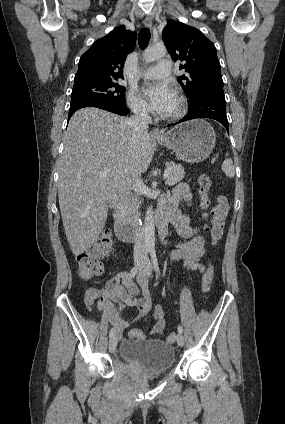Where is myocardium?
Listing matches in <instances>:
<instances>
[{"label": "myocardium", "mask_w": 285, "mask_h": 424, "mask_svg": "<svg viewBox=\"0 0 285 424\" xmlns=\"http://www.w3.org/2000/svg\"><path fill=\"white\" fill-rule=\"evenodd\" d=\"M176 98L179 102V109L171 115H162L161 119L165 121H176L181 119L185 115L187 110L186 98L181 94H176Z\"/></svg>", "instance_id": "myocardium-1"}]
</instances>
